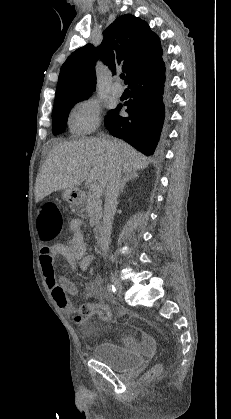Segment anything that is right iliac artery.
I'll return each mask as SVG.
<instances>
[{
  "label": "right iliac artery",
  "mask_w": 231,
  "mask_h": 419,
  "mask_svg": "<svg viewBox=\"0 0 231 419\" xmlns=\"http://www.w3.org/2000/svg\"><path fill=\"white\" fill-rule=\"evenodd\" d=\"M106 288H107L108 292H110V293H115L116 292V288L112 284H107Z\"/></svg>",
  "instance_id": "right-iliac-artery-1"
}]
</instances>
